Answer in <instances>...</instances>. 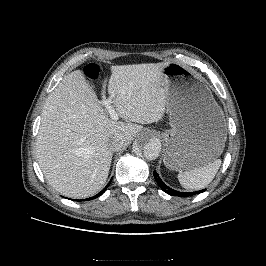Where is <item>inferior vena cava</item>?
I'll return each mask as SVG.
<instances>
[{"label":"inferior vena cava","mask_w":266,"mask_h":266,"mask_svg":"<svg viewBox=\"0 0 266 266\" xmlns=\"http://www.w3.org/2000/svg\"><path fill=\"white\" fill-rule=\"evenodd\" d=\"M107 146L111 151H118L125 146V139L122 136H114L108 141Z\"/></svg>","instance_id":"obj_1"}]
</instances>
